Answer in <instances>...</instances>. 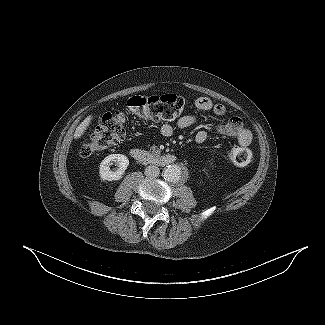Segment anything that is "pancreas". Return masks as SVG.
I'll return each instance as SVG.
<instances>
[{
	"mask_svg": "<svg viewBox=\"0 0 325 325\" xmlns=\"http://www.w3.org/2000/svg\"><path fill=\"white\" fill-rule=\"evenodd\" d=\"M150 150H151V153L153 154V155H159L160 154V149H158L156 146H152L151 148H150Z\"/></svg>",
	"mask_w": 325,
	"mask_h": 325,
	"instance_id": "pancreas-1",
	"label": "pancreas"
}]
</instances>
